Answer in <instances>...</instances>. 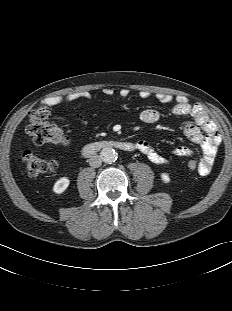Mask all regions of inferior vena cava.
<instances>
[{"mask_svg": "<svg viewBox=\"0 0 232 311\" xmlns=\"http://www.w3.org/2000/svg\"><path fill=\"white\" fill-rule=\"evenodd\" d=\"M102 164V157L99 155H93L89 159V165L93 168H98Z\"/></svg>", "mask_w": 232, "mask_h": 311, "instance_id": "inferior-vena-cava-1", "label": "inferior vena cava"}]
</instances>
